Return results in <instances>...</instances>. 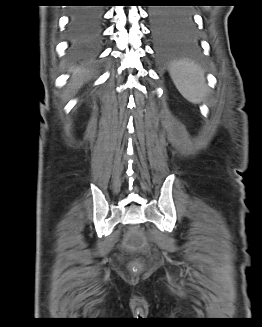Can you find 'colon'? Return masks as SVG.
Instances as JSON below:
<instances>
[{"label": "colon", "mask_w": 262, "mask_h": 327, "mask_svg": "<svg viewBox=\"0 0 262 327\" xmlns=\"http://www.w3.org/2000/svg\"><path fill=\"white\" fill-rule=\"evenodd\" d=\"M131 242H137V243H142L143 242V237L141 234L139 233H133L131 236H130V239H129Z\"/></svg>", "instance_id": "1"}]
</instances>
